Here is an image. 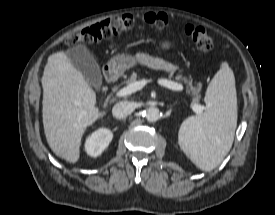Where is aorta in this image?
<instances>
[{
    "mask_svg": "<svg viewBox=\"0 0 275 215\" xmlns=\"http://www.w3.org/2000/svg\"><path fill=\"white\" fill-rule=\"evenodd\" d=\"M145 117L148 121H157L160 117V111L156 107H150L145 111Z\"/></svg>",
    "mask_w": 275,
    "mask_h": 215,
    "instance_id": "aorta-1",
    "label": "aorta"
}]
</instances>
